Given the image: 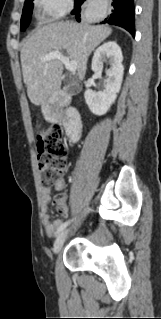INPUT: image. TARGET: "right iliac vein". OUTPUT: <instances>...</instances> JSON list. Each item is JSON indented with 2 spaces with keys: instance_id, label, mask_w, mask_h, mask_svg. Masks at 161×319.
<instances>
[{
  "instance_id": "63e3f726",
  "label": "right iliac vein",
  "mask_w": 161,
  "mask_h": 319,
  "mask_svg": "<svg viewBox=\"0 0 161 319\" xmlns=\"http://www.w3.org/2000/svg\"><path fill=\"white\" fill-rule=\"evenodd\" d=\"M68 233H69V230H65L57 236V238L54 242V245H53L54 254H58L60 252V250L62 249V247L65 243V240L67 238Z\"/></svg>"
}]
</instances>
